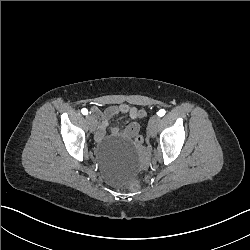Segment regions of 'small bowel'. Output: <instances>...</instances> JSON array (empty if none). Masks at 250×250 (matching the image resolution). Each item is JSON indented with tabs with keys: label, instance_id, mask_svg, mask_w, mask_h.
<instances>
[{
	"label": "small bowel",
	"instance_id": "c3829d8e",
	"mask_svg": "<svg viewBox=\"0 0 250 250\" xmlns=\"http://www.w3.org/2000/svg\"><path fill=\"white\" fill-rule=\"evenodd\" d=\"M93 113L99 120V127L95 134L97 140H101L104 137L108 120L119 114H127L130 117V121L124 128L113 127L111 129V134L122 135L126 138H135L139 134L140 126L136 122V119L139 117V115L138 109L135 106L121 104L118 106L109 107L104 113H101L98 109H93Z\"/></svg>",
	"mask_w": 250,
	"mask_h": 250
}]
</instances>
